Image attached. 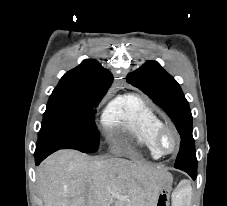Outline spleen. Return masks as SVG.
Segmentation results:
<instances>
[{
    "mask_svg": "<svg viewBox=\"0 0 227 206\" xmlns=\"http://www.w3.org/2000/svg\"><path fill=\"white\" fill-rule=\"evenodd\" d=\"M192 189L190 185L177 189L173 196V206H189Z\"/></svg>",
    "mask_w": 227,
    "mask_h": 206,
    "instance_id": "obj_1",
    "label": "spleen"
}]
</instances>
